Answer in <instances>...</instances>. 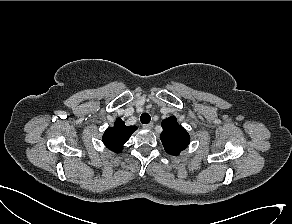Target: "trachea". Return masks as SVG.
Here are the masks:
<instances>
[{"instance_id":"obj_1","label":"trachea","mask_w":292,"mask_h":224,"mask_svg":"<svg viewBox=\"0 0 292 224\" xmlns=\"http://www.w3.org/2000/svg\"><path fill=\"white\" fill-rule=\"evenodd\" d=\"M151 120V117L148 113H143L140 117V121L143 124H148Z\"/></svg>"}]
</instances>
